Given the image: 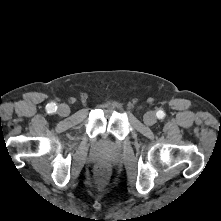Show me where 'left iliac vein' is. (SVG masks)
I'll return each instance as SVG.
<instances>
[{
  "instance_id": "1",
  "label": "left iliac vein",
  "mask_w": 221,
  "mask_h": 221,
  "mask_svg": "<svg viewBox=\"0 0 221 221\" xmlns=\"http://www.w3.org/2000/svg\"><path fill=\"white\" fill-rule=\"evenodd\" d=\"M144 123L147 125V126H152L156 123V115L153 111H149L147 112L145 115H144Z\"/></svg>"
}]
</instances>
